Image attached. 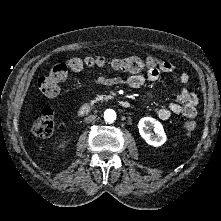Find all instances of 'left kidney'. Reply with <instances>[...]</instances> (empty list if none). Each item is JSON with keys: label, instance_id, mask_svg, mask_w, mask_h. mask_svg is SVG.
<instances>
[{"label": "left kidney", "instance_id": "1", "mask_svg": "<svg viewBox=\"0 0 221 221\" xmlns=\"http://www.w3.org/2000/svg\"><path fill=\"white\" fill-rule=\"evenodd\" d=\"M138 129L141 137L151 146L159 147L167 140L162 124L152 117L141 118ZM152 129L155 134L151 133Z\"/></svg>", "mask_w": 221, "mask_h": 221}]
</instances>
